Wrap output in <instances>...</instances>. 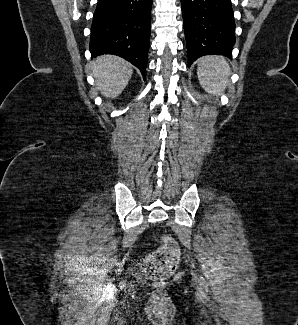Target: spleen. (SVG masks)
<instances>
[{
	"mask_svg": "<svg viewBox=\"0 0 298 325\" xmlns=\"http://www.w3.org/2000/svg\"><path fill=\"white\" fill-rule=\"evenodd\" d=\"M196 70L198 80L206 92L214 96L224 92L230 74V66L224 56H201Z\"/></svg>",
	"mask_w": 298,
	"mask_h": 325,
	"instance_id": "1",
	"label": "spleen"
}]
</instances>
